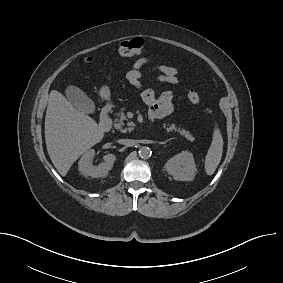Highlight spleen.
<instances>
[{
  "instance_id": "1",
  "label": "spleen",
  "mask_w": 283,
  "mask_h": 283,
  "mask_svg": "<svg viewBox=\"0 0 283 283\" xmlns=\"http://www.w3.org/2000/svg\"><path fill=\"white\" fill-rule=\"evenodd\" d=\"M223 153V138L220 130L215 127L211 145L205 157V171L206 174L211 176L214 174L217 166L219 165Z\"/></svg>"
}]
</instances>
